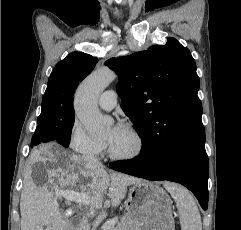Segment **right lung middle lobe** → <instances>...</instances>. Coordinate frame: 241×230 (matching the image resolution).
I'll use <instances>...</instances> for the list:
<instances>
[{
  "label": "right lung middle lobe",
  "instance_id": "obj_1",
  "mask_svg": "<svg viewBox=\"0 0 241 230\" xmlns=\"http://www.w3.org/2000/svg\"><path fill=\"white\" fill-rule=\"evenodd\" d=\"M37 120L38 126L32 137L31 147L49 141L57 142L64 147L69 146L74 116L60 119L50 113H41Z\"/></svg>",
  "mask_w": 241,
  "mask_h": 230
}]
</instances>
